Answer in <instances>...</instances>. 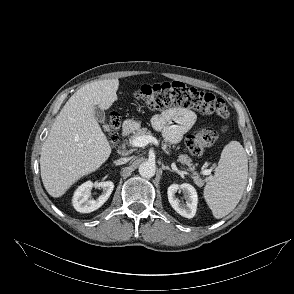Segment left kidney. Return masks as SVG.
<instances>
[{
	"mask_svg": "<svg viewBox=\"0 0 294 294\" xmlns=\"http://www.w3.org/2000/svg\"><path fill=\"white\" fill-rule=\"evenodd\" d=\"M179 189H182L184 193L186 205L181 204L175 196L176 192ZM167 194L170 205L178 214L188 219H191L195 216L197 210L198 195L192 185L187 183L181 185L172 184L168 187Z\"/></svg>",
	"mask_w": 294,
	"mask_h": 294,
	"instance_id": "1",
	"label": "left kidney"
}]
</instances>
